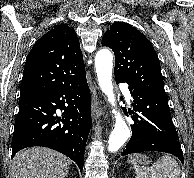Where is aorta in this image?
Masks as SVG:
<instances>
[{
    "instance_id": "obj_1",
    "label": "aorta",
    "mask_w": 194,
    "mask_h": 178,
    "mask_svg": "<svg viewBox=\"0 0 194 178\" xmlns=\"http://www.w3.org/2000/svg\"><path fill=\"white\" fill-rule=\"evenodd\" d=\"M95 68L102 92L107 97L108 102L115 107L116 99L112 84L113 55L108 49H101L97 52ZM112 113L114 114L115 124L109 136L108 151L116 152L124 145L131 132L121 114L115 109L112 110Z\"/></svg>"
}]
</instances>
